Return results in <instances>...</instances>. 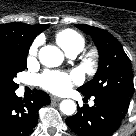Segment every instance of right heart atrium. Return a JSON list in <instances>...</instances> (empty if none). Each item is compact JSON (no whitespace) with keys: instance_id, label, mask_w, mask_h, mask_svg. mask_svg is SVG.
Wrapping results in <instances>:
<instances>
[{"instance_id":"1","label":"right heart atrium","mask_w":136,"mask_h":136,"mask_svg":"<svg viewBox=\"0 0 136 136\" xmlns=\"http://www.w3.org/2000/svg\"><path fill=\"white\" fill-rule=\"evenodd\" d=\"M38 46H39V42L38 41H35L31 47H30V50H29V57H28V60L29 61H32L34 60L36 54H37V50H38Z\"/></svg>"}]
</instances>
